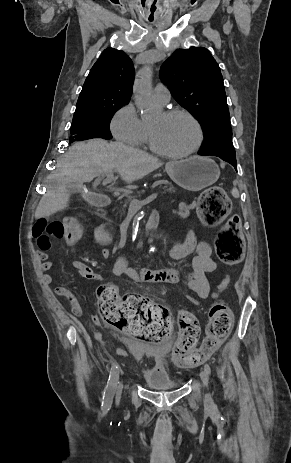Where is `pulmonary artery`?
<instances>
[{"mask_svg": "<svg viewBox=\"0 0 291 463\" xmlns=\"http://www.w3.org/2000/svg\"><path fill=\"white\" fill-rule=\"evenodd\" d=\"M153 97L160 104H166L170 100V91L162 83H158L153 89Z\"/></svg>", "mask_w": 291, "mask_h": 463, "instance_id": "pulmonary-artery-1", "label": "pulmonary artery"}]
</instances>
